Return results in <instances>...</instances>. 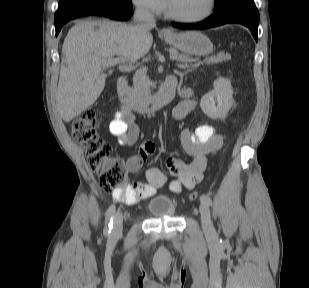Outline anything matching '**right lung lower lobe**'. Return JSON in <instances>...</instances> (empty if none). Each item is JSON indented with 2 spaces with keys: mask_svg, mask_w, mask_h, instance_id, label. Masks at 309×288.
<instances>
[{
  "mask_svg": "<svg viewBox=\"0 0 309 288\" xmlns=\"http://www.w3.org/2000/svg\"><path fill=\"white\" fill-rule=\"evenodd\" d=\"M88 15L105 16L114 20H128L132 15V4L105 0L85 3L55 19L56 36L66 22Z\"/></svg>",
  "mask_w": 309,
  "mask_h": 288,
  "instance_id": "98d812e1",
  "label": "right lung lower lobe"
}]
</instances>
